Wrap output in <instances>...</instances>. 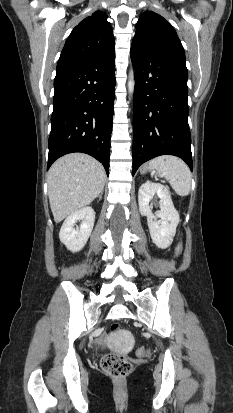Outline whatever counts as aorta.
<instances>
[{
    "instance_id": "762f6f07",
    "label": "aorta",
    "mask_w": 233,
    "mask_h": 413,
    "mask_svg": "<svg viewBox=\"0 0 233 413\" xmlns=\"http://www.w3.org/2000/svg\"><path fill=\"white\" fill-rule=\"evenodd\" d=\"M134 87H135L134 70L131 69L129 73V79H128V91L130 95H133Z\"/></svg>"
}]
</instances>
